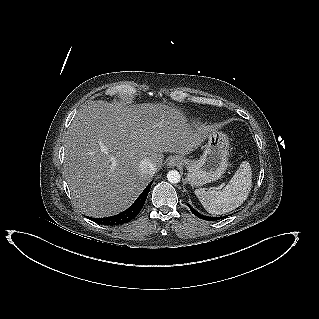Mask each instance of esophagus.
Masks as SVG:
<instances>
[{
  "mask_svg": "<svg viewBox=\"0 0 319 319\" xmlns=\"http://www.w3.org/2000/svg\"><path fill=\"white\" fill-rule=\"evenodd\" d=\"M182 163V159L178 156H172L170 157L169 161H168V166L169 167H175L178 166Z\"/></svg>",
  "mask_w": 319,
  "mask_h": 319,
  "instance_id": "1",
  "label": "esophagus"
}]
</instances>
